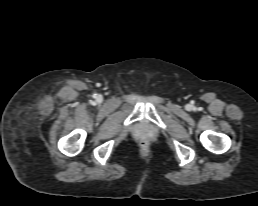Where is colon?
Listing matches in <instances>:
<instances>
[{
  "mask_svg": "<svg viewBox=\"0 0 258 206\" xmlns=\"http://www.w3.org/2000/svg\"><path fill=\"white\" fill-rule=\"evenodd\" d=\"M148 145H149V143H148L147 140H143V141L141 142V146H142V148H144V149H146V148L148 147Z\"/></svg>",
  "mask_w": 258,
  "mask_h": 206,
  "instance_id": "1",
  "label": "colon"
}]
</instances>
